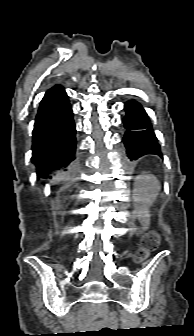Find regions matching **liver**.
Instances as JSON below:
<instances>
[{"mask_svg":"<svg viewBox=\"0 0 194 336\" xmlns=\"http://www.w3.org/2000/svg\"><path fill=\"white\" fill-rule=\"evenodd\" d=\"M64 178V175L63 174H58L55 178H54V180L55 181H60V180H62Z\"/></svg>","mask_w":194,"mask_h":336,"instance_id":"liver-1","label":"liver"}]
</instances>
